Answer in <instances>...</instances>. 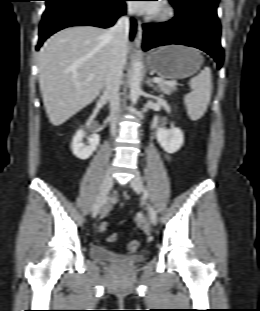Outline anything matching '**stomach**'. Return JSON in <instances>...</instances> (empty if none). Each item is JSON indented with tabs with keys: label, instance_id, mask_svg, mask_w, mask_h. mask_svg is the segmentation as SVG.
<instances>
[{
	"label": "stomach",
	"instance_id": "1",
	"mask_svg": "<svg viewBox=\"0 0 260 311\" xmlns=\"http://www.w3.org/2000/svg\"><path fill=\"white\" fill-rule=\"evenodd\" d=\"M149 68L165 79H183L195 74L203 63L200 53L191 47L169 45L147 56Z\"/></svg>",
	"mask_w": 260,
	"mask_h": 311
}]
</instances>
